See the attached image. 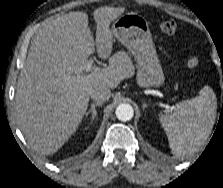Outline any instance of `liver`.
Listing matches in <instances>:
<instances>
[{"instance_id":"6515ba94","label":"liver","mask_w":223,"mask_h":188,"mask_svg":"<svg viewBox=\"0 0 223 188\" xmlns=\"http://www.w3.org/2000/svg\"><path fill=\"white\" fill-rule=\"evenodd\" d=\"M124 12L123 7L96 9L95 41L88 15L80 11L45 21L33 38L18 77L15 105L23 135L40 154L57 152L76 131L93 89H114L129 77L127 65L116 58L109 59L107 68L85 71L95 46L101 59L111 55L114 40L109 26Z\"/></svg>"}]
</instances>
